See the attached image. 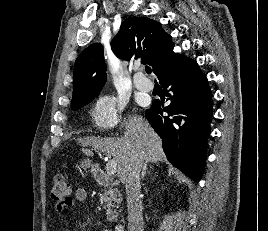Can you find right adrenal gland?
<instances>
[{"label": "right adrenal gland", "mask_w": 268, "mask_h": 231, "mask_svg": "<svg viewBox=\"0 0 268 231\" xmlns=\"http://www.w3.org/2000/svg\"><path fill=\"white\" fill-rule=\"evenodd\" d=\"M146 174H147V164L145 163L141 172V178L144 179Z\"/></svg>", "instance_id": "obj_1"}]
</instances>
